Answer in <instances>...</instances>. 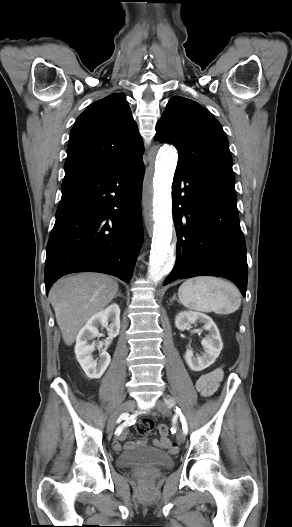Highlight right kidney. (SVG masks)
I'll return each mask as SVG.
<instances>
[{"label": "right kidney", "instance_id": "ca27d5eb", "mask_svg": "<svg viewBox=\"0 0 292 527\" xmlns=\"http://www.w3.org/2000/svg\"><path fill=\"white\" fill-rule=\"evenodd\" d=\"M110 322V324H109ZM99 326L106 327L108 338L104 342L89 344L88 341L96 337L99 333ZM120 330V308L117 304H111L106 309L92 316L85 326L80 330L76 338L75 354L86 375L91 379L100 378L110 364L111 357L106 352L113 338L119 334ZM105 349L100 354V359L94 360L92 353L95 346Z\"/></svg>", "mask_w": 292, "mask_h": 527}]
</instances>
